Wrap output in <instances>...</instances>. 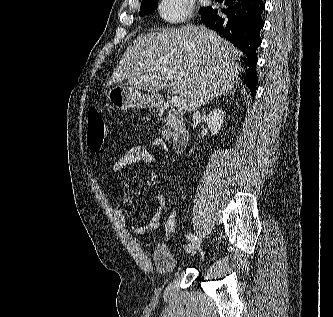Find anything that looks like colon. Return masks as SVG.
<instances>
[{"mask_svg":"<svg viewBox=\"0 0 333 317\" xmlns=\"http://www.w3.org/2000/svg\"><path fill=\"white\" fill-rule=\"evenodd\" d=\"M107 134V126L101 112L97 108H90L88 111V131L87 145L88 148L96 152L102 147ZM176 226V213L173 208L166 212L164 222V232L170 237Z\"/></svg>","mask_w":333,"mask_h":317,"instance_id":"5ec220e1","label":"colon"}]
</instances>
